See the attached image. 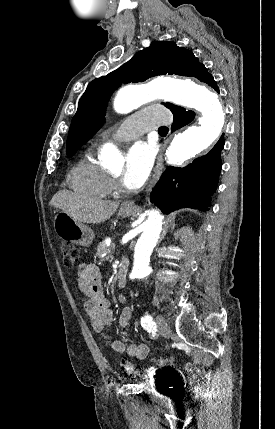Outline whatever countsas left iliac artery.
Returning a JSON list of instances; mask_svg holds the SVG:
<instances>
[{"instance_id":"44dca946","label":"left iliac artery","mask_w":275,"mask_h":429,"mask_svg":"<svg viewBox=\"0 0 275 429\" xmlns=\"http://www.w3.org/2000/svg\"><path fill=\"white\" fill-rule=\"evenodd\" d=\"M141 325L145 329H149L151 327H154L155 323L153 322V319L150 315H145L141 319Z\"/></svg>"}]
</instances>
